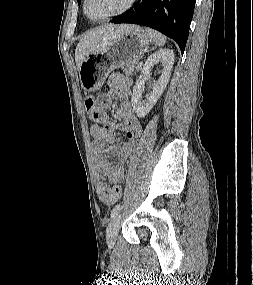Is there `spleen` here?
Here are the masks:
<instances>
[{"instance_id": "3e777b00", "label": "spleen", "mask_w": 253, "mask_h": 285, "mask_svg": "<svg viewBox=\"0 0 253 285\" xmlns=\"http://www.w3.org/2000/svg\"><path fill=\"white\" fill-rule=\"evenodd\" d=\"M145 32L151 37V39L154 41L156 45L158 46L165 45L166 37L163 34L150 28H145Z\"/></svg>"}]
</instances>
